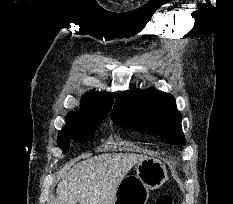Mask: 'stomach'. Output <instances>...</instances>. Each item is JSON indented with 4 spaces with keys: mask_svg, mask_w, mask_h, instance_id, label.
Instances as JSON below:
<instances>
[{
    "mask_svg": "<svg viewBox=\"0 0 233 204\" xmlns=\"http://www.w3.org/2000/svg\"><path fill=\"white\" fill-rule=\"evenodd\" d=\"M135 169L136 176H128L118 185L112 204H146L149 191L160 188L167 180L166 166L158 159L145 157Z\"/></svg>",
    "mask_w": 233,
    "mask_h": 204,
    "instance_id": "1",
    "label": "stomach"
}]
</instances>
